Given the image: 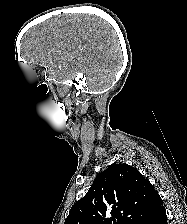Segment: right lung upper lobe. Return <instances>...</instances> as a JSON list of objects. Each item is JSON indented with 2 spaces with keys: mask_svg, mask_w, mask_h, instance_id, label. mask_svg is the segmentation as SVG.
<instances>
[{
  "mask_svg": "<svg viewBox=\"0 0 187 224\" xmlns=\"http://www.w3.org/2000/svg\"><path fill=\"white\" fill-rule=\"evenodd\" d=\"M164 212L160 196L136 168L112 164L71 207L64 224H146Z\"/></svg>",
  "mask_w": 187,
  "mask_h": 224,
  "instance_id": "right-lung-upper-lobe-1",
  "label": "right lung upper lobe"
}]
</instances>
